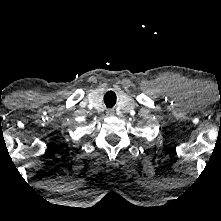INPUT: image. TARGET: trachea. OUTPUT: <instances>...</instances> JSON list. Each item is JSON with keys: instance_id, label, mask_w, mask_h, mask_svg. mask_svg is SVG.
I'll return each instance as SVG.
<instances>
[{"instance_id": "obj_1", "label": "trachea", "mask_w": 221, "mask_h": 221, "mask_svg": "<svg viewBox=\"0 0 221 221\" xmlns=\"http://www.w3.org/2000/svg\"><path fill=\"white\" fill-rule=\"evenodd\" d=\"M104 103L108 108H112L116 103V95L113 91H109L104 96Z\"/></svg>"}]
</instances>
